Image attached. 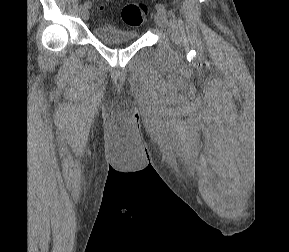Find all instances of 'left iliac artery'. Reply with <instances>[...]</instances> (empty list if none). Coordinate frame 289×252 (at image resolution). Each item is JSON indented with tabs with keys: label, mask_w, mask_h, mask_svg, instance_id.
Returning a JSON list of instances; mask_svg holds the SVG:
<instances>
[{
	"label": "left iliac artery",
	"mask_w": 289,
	"mask_h": 252,
	"mask_svg": "<svg viewBox=\"0 0 289 252\" xmlns=\"http://www.w3.org/2000/svg\"><path fill=\"white\" fill-rule=\"evenodd\" d=\"M156 9L158 11H161V12L165 13V14L167 13V10H166L165 6L162 5V4H156Z\"/></svg>",
	"instance_id": "1"
}]
</instances>
